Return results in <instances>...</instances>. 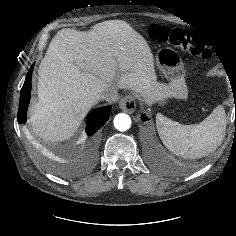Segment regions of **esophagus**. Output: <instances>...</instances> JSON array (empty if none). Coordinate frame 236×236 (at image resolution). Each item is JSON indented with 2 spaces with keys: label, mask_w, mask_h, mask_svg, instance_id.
<instances>
[{
  "label": "esophagus",
  "mask_w": 236,
  "mask_h": 236,
  "mask_svg": "<svg viewBox=\"0 0 236 236\" xmlns=\"http://www.w3.org/2000/svg\"><path fill=\"white\" fill-rule=\"evenodd\" d=\"M119 107L126 113H133L136 109V99L132 94L126 95L119 102Z\"/></svg>",
  "instance_id": "34e87169"
}]
</instances>
